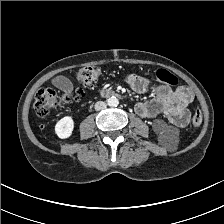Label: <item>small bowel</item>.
Wrapping results in <instances>:
<instances>
[{
  "mask_svg": "<svg viewBox=\"0 0 224 224\" xmlns=\"http://www.w3.org/2000/svg\"><path fill=\"white\" fill-rule=\"evenodd\" d=\"M53 85L66 95L73 94L71 81L66 77H57ZM125 83L136 92L154 90V98L149 101L139 102L135 106V112L143 118H156L165 116L177 127H185L189 122L188 105L192 102L194 93L190 87L180 86L171 89L168 86L153 87L150 82L135 73L125 77Z\"/></svg>",
  "mask_w": 224,
  "mask_h": 224,
  "instance_id": "1",
  "label": "small bowel"
}]
</instances>
